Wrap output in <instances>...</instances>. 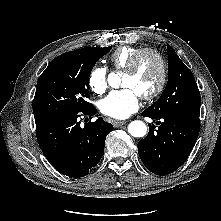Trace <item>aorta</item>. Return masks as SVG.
I'll list each match as a JSON object with an SVG mask.
<instances>
[{"label": "aorta", "instance_id": "762f6f07", "mask_svg": "<svg viewBox=\"0 0 221 221\" xmlns=\"http://www.w3.org/2000/svg\"><path fill=\"white\" fill-rule=\"evenodd\" d=\"M108 83L111 87H119V76L115 73H110L108 76ZM128 132L134 137H143L147 133V126L140 120H134L128 125Z\"/></svg>", "mask_w": 221, "mask_h": 221}]
</instances>
